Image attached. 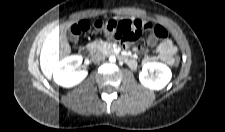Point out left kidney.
Returning <instances> with one entry per match:
<instances>
[{"label":"left kidney","instance_id":"left-kidney-1","mask_svg":"<svg viewBox=\"0 0 225 132\" xmlns=\"http://www.w3.org/2000/svg\"><path fill=\"white\" fill-rule=\"evenodd\" d=\"M170 68L159 62H147L139 74V80L145 87L153 90L163 89L171 80Z\"/></svg>","mask_w":225,"mask_h":132}]
</instances>
